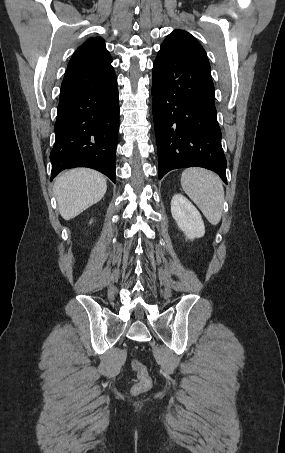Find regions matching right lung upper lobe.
<instances>
[{
	"mask_svg": "<svg viewBox=\"0 0 285 453\" xmlns=\"http://www.w3.org/2000/svg\"><path fill=\"white\" fill-rule=\"evenodd\" d=\"M112 58L100 37L90 38L83 43L68 63L69 67L82 69H104L111 66Z\"/></svg>",
	"mask_w": 285,
	"mask_h": 453,
	"instance_id": "cb5924a9",
	"label": "right lung upper lobe"
}]
</instances>
